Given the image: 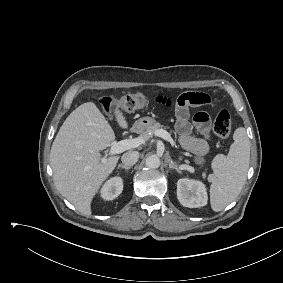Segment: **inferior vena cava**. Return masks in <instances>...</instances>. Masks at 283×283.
Segmentation results:
<instances>
[{"mask_svg": "<svg viewBox=\"0 0 283 283\" xmlns=\"http://www.w3.org/2000/svg\"><path fill=\"white\" fill-rule=\"evenodd\" d=\"M138 158H139L138 151H129L122 155L121 161L126 166H132L138 161Z\"/></svg>", "mask_w": 283, "mask_h": 283, "instance_id": "1", "label": "inferior vena cava"}]
</instances>
